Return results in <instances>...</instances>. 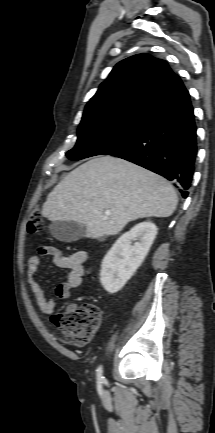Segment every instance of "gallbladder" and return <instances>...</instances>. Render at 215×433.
<instances>
[{
	"label": "gallbladder",
	"mask_w": 215,
	"mask_h": 433,
	"mask_svg": "<svg viewBox=\"0 0 215 433\" xmlns=\"http://www.w3.org/2000/svg\"><path fill=\"white\" fill-rule=\"evenodd\" d=\"M51 235L61 242H74L85 235L86 227L74 221H54L49 226Z\"/></svg>",
	"instance_id": "bac80fb5"
}]
</instances>
